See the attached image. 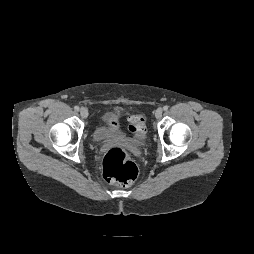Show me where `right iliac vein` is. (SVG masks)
Masks as SVG:
<instances>
[{"label":"right iliac vein","instance_id":"right-iliac-vein-1","mask_svg":"<svg viewBox=\"0 0 254 254\" xmlns=\"http://www.w3.org/2000/svg\"><path fill=\"white\" fill-rule=\"evenodd\" d=\"M80 115L82 118H87L88 117V110L85 107H82L80 109Z\"/></svg>","mask_w":254,"mask_h":254}]
</instances>
